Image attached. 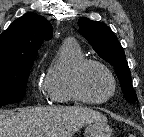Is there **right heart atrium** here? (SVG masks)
Listing matches in <instances>:
<instances>
[{
  "label": "right heart atrium",
  "instance_id": "right-heart-atrium-1",
  "mask_svg": "<svg viewBox=\"0 0 144 137\" xmlns=\"http://www.w3.org/2000/svg\"><path fill=\"white\" fill-rule=\"evenodd\" d=\"M40 97H41V98H44V95H43V94H41V95H40Z\"/></svg>",
  "mask_w": 144,
  "mask_h": 137
}]
</instances>
